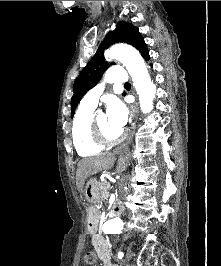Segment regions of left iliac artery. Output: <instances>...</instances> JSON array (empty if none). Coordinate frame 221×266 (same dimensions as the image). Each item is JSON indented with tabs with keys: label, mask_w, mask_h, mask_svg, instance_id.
<instances>
[{
	"label": "left iliac artery",
	"mask_w": 221,
	"mask_h": 266,
	"mask_svg": "<svg viewBox=\"0 0 221 266\" xmlns=\"http://www.w3.org/2000/svg\"><path fill=\"white\" fill-rule=\"evenodd\" d=\"M124 256V254L122 252L118 253V258H122Z\"/></svg>",
	"instance_id": "obj_1"
}]
</instances>
